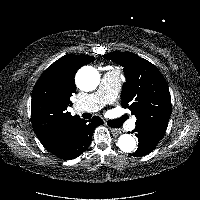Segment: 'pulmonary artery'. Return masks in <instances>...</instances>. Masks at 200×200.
I'll use <instances>...</instances> for the list:
<instances>
[{
	"instance_id": "obj_1",
	"label": "pulmonary artery",
	"mask_w": 200,
	"mask_h": 200,
	"mask_svg": "<svg viewBox=\"0 0 200 200\" xmlns=\"http://www.w3.org/2000/svg\"><path fill=\"white\" fill-rule=\"evenodd\" d=\"M121 88V80L118 72L107 71L103 74L98 90L88 95L82 102L76 105L80 111H98L105 105L113 102ZM135 122L129 123L130 128H134Z\"/></svg>"
}]
</instances>
